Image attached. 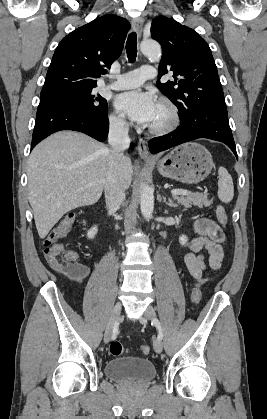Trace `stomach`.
<instances>
[{"label":"stomach","mask_w":267,"mask_h":419,"mask_svg":"<svg viewBox=\"0 0 267 419\" xmlns=\"http://www.w3.org/2000/svg\"><path fill=\"white\" fill-rule=\"evenodd\" d=\"M159 173L185 184L204 180L213 168L210 152L201 144L189 142L174 148L157 163Z\"/></svg>","instance_id":"0dacf381"}]
</instances>
